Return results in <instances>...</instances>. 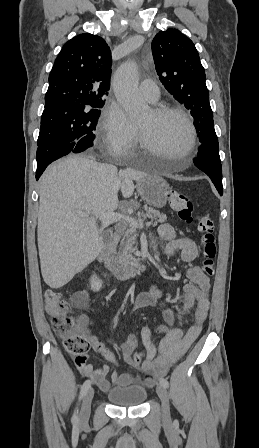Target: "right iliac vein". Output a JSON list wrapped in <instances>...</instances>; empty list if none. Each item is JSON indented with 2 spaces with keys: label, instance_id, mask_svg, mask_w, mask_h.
<instances>
[{
  "label": "right iliac vein",
  "instance_id": "63e3f726",
  "mask_svg": "<svg viewBox=\"0 0 259 448\" xmlns=\"http://www.w3.org/2000/svg\"><path fill=\"white\" fill-rule=\"evenodd\" d=\"M94 397V389L89 388L86 394L84 395L83 402L81 405L80 415H79V422L80 424H86L89 420L90 413H91V403L92 399Z\"/></svg>",
  "mask_w": 259,
  "mask_h": 448
}]
</instances>
